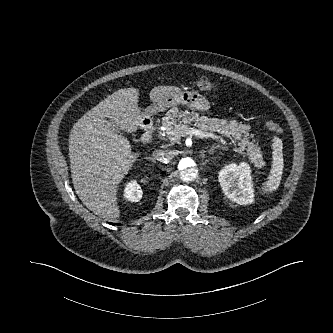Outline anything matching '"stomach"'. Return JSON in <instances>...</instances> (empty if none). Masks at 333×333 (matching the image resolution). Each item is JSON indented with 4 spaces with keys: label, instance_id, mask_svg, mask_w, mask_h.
<instances>
[{
    "label": "stomach",
    "instance_id": "0dacf381",
    "mask_svg": "<svg viewBox=\"0 0 333 333\" xmlns=\"http://www.w3.org/2000/svg\"><path fill=\"white\" fill-rule=\"evenodd\" d=\"M184 105L192 110L207 111L210 108L209 101L196 91H180L164 97L161 101L154 103L148 110L150 114L162 112L168 108Z\"/></svg>",
    "mask_w": 333,
    "mask_h": 333
}]
</instances>
